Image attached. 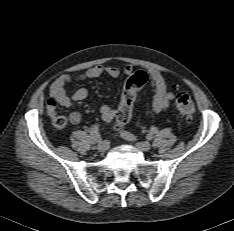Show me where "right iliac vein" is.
Returning <instances> with one entry per match:
<instances>
[{
  "instance_id": "obj_1",
  "label": "right iliac vein",
  "mask_w": 234,
  "mask_h": 231,
  "mask_svg": "<svg viewBox=\"0 0 234 231\" xmlns=\"http://www.w3.org/2000/svg\"><path fill=\"white\" fill-rule=\"evenodd\" d=\"M109 146H110V144L108 141H106V140L100 141V143L97 146V150H98V152L103 153L109 149Z\"/></svg>"
}]
</instances>
